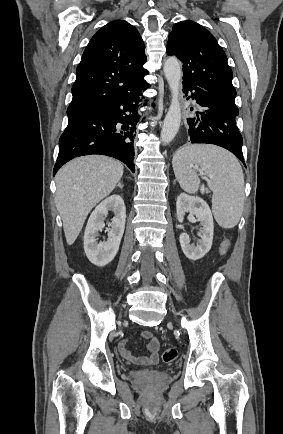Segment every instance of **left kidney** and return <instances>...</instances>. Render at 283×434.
Masks as SVG:
<instances>
[{"mask_svg":"<svg viewBox=\"0 0 283 434\" xmlns=\"http://www.w3.org/2000/svg\"><path fill=\"white\" fill-rule=\"evenodd\" d=\"M186 212L194 214L202 226L199 234L201 239L196 246L190 244V238L186 232H182L179 238L183 253L188 259L195 261L202 258L211 249L214 222L211 210L205 200L198 196L181 193L176 202V214L180 223L183 222Z\"/></svg>","mask_w":283,"mask_h":434,"instance_id":"1","label":"left kidney"}]
</instances>
